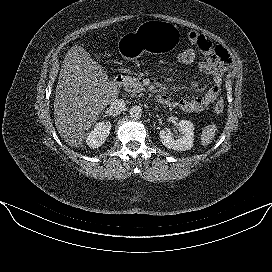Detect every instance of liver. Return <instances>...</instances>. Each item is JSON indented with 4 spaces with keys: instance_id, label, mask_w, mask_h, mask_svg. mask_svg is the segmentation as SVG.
I'll use <instances>...</instances> for the list:
<instances>
[{
    "instance_id": "liver-1",
    "label": "liver",
    "mask_w": 272,
    "mask_h": 272,
    "mask_svg": "<svg viewBox=\"0 0 272 272\" xmlns=\"http://www.w3.org/2000/svg\"><path fill=\"white\" fill-rule=\"evenodd\" d=\"M119 90L106 71L81 46H73L60 69L54 100V121L70 147H83L88 131Z\"/></svg>"
}]
</instances>
